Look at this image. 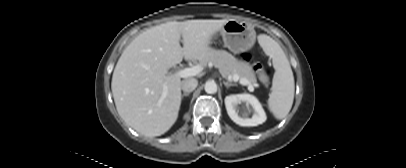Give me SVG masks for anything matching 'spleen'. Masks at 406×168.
<instances>
[{
    "label": "spleen",
    "mask_w": 406,
    "mask_h": 168,
    "mask_svg": "<svg viewBox=\"0 0 406 168\" xmlns=\"http://www.w3.org/2000/svg\"><path fill=\"white\" fill-rule=\"evenodd\" d=\"M260 43L266 55L272 58L275 68L268 107L274 117L281 120L292 108L295 92L293 72L284 51L277 42L263 35Z\"/></svg>",
    "instance_id": "1"
}]
</instances>
